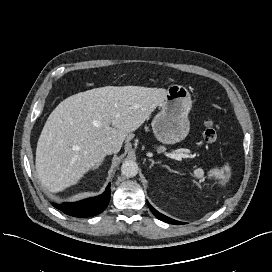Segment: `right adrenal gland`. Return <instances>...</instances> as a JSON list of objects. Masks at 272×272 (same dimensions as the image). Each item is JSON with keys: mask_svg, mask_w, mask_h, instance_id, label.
Instances as JSON below:
<instances>
[{"mask_svg": "<svg viewBox=\"0 0 272 272\" xmlns=\"http://www.w3.org/2000/svg\"><path fill=\"white\" fill-rule=\"evenodd\" d=\"M102 161H103V160H102ZM102 161H100L99 163H97V164L93 167V169L98 168V167L102 164Z\"/></svg>", "mask_w": 272, "mask_h": 272, "instance_id": "right-adrenal-gland-1", "label": "right adrenal gland"}]
</instances>
